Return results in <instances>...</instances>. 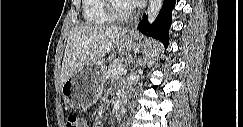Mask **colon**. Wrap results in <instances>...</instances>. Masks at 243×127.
<instances>
[{"label": "colon", "instance_id": "obj_1", "mask_svg": "<svg viewBox=\"0 0 243 127\" xmlns=\"http://www.w3.org/2000/svg\"><path fill=\"white\" fill-rule=\"evenodd\" d=\"M67 127H84L83 122L79 119L76 114H70L66 118Z\"/></svg>", "mask_w": 243, "mask_h": 127}]
</instances>
